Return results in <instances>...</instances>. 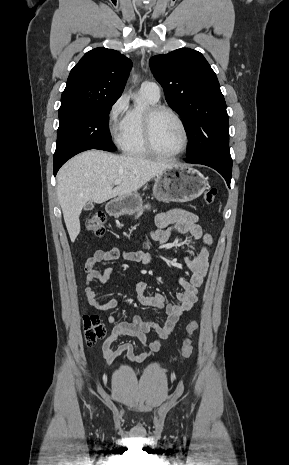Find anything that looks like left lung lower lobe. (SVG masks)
I'll list each match as a JSON object with an SVG mask.
<instances>
[{"label":"left lung lower lobe","instance_id":"obj_1","mask_svg":"<svg viewBox=\"0 0 289 465\" xmlns=\"http://www.w3.org/2000/svg\"><path fill=\"white\" fill-rule=\"evenodd\" d=\"M187 163L203 164L217 170L226 180L230 187L232 175V161L217 157H194L185 159Z\"/></svg>","mask_w":289,"mask_h":465}]
</instances>
